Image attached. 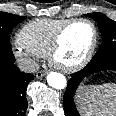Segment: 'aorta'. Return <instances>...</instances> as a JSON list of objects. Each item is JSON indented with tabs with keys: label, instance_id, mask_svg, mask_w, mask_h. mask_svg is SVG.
Instances as JSON below:
<instances>
[{
	"label": "aorta",
	"instance_id": "obj_1",
	"mask_svg": "<svg viewBox=\"0 0 116 116\" xmlns=\"http://www.w3.org/2000/svg\"><path fill=\"white\" fill-rule=\"evenodd\" d=\"M47 82L49 86L58 90L64 89L67 85V80L65 76L57 72H50L47 75Z\"/></svg>",
	"mask_w": 116,
	"mask_h": 116
}]
</instances>
